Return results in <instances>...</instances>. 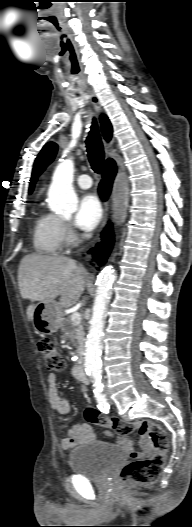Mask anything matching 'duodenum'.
I'll list each match as a JSON object with an SVG mask.
<instances>
[{
    "label": "duodenum",
    "instance_id": "obj_1",
    "mask_svg": "<svg viewBox=\"0 0 192 527\" xmlns=\"http://www.w3.org/2000/svg\"><path fill=\"white\" fill-rule=\"evenodd\" d=\"M75 373H76L77 378H78L81 382H83V383H85V384L89 383V379H88V377H87V375H86L85 368H84V366H83L82 363H78V364L76 365V367H75Z\"/></svg>",
    "mask_w": 192,
    "mask_h": 527
}]
</instances>
